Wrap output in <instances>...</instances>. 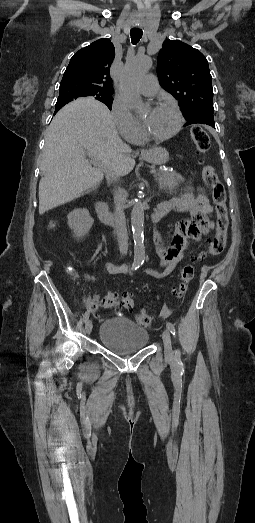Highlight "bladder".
Wrapping results in <instances>:
<instances>
[{
  "label": "bladder",
  "instance_id": "31cf9c89",
  "mask_svg": "<svg viewBox=\"0 0 255 523\" xmlns=\"http://www.w3.org/2000/svg\"><path fill=\"white\" fill-rule=\"evenodd\" d=\"M99 339L111 352L126 354L144 348L149 334L129 320L120 322L106 319L101 326Z\"/></svg>",
  "mask_w": 255,
  "mask_h": 523
}]
</instances>
